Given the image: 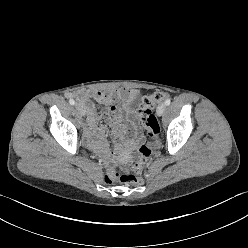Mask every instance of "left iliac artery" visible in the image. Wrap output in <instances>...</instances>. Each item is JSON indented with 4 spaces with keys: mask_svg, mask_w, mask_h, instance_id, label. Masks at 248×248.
<instances>
[{
    "mask_svg": "<svg viewBox=\"0 0 248 248\" xmlns=\"http://www.w3.org/2000/svg\"><path fill=\"white\" fill-rule=\"evenodd\" d=\"M170 103H171V100H170V99H166V100H165V105L168 106V105H170Z\"/></svg>",
    "mask_w": 248,
    "mask_h": 248,
    "instance_id": "obj_1",
    "label": "left iliac artery"
}]
</instances>
